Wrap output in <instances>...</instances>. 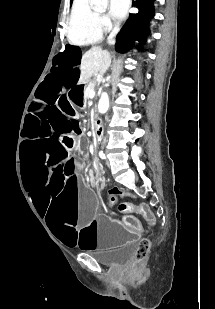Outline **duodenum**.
Listing matches in <instances>:
<instances>
[{"mask_svg":"<svg viewBox=\"0 0 215 309\" xmlns=\"http://www.w3.org/2000/svg\"><path fill=\"white\" fill-rule=\"evenodd\" d=\"M94 136L98 144H102L104 140L103 120L95 118L94 120Z\"/></svg>","mask_w":215,"mask_h":309,"instance_id":"obj_1","label":"duodenum"}]
</instances>
